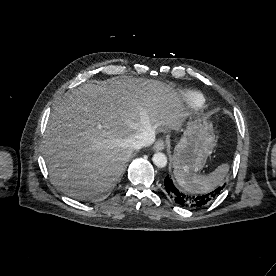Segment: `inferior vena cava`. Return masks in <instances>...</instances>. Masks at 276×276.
Returning a JSON list of instances; mask_svg holds the SVG:
<instances>
[{
	"label": "inferior vena cava",
	"mask_w": 276,
	"mask_h": 276,
	"mask_svg": "<svg viewBox=\"0 0 276 276\" xmlns=\"http://www.w3.org/2000/svg\"><path fill=\"white\" fill-rule=\"evenodd\" d=\"M155 141V131L148 130L136 134L128 139L129 146L133 149H141L142 147L150 146Z\"/></svg>",
	"instance_id": "inferior-vena-cava-1"
}]
</instances>
